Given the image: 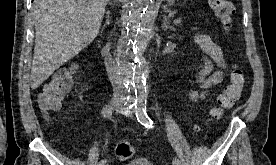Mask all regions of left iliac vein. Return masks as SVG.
Wrapping results in <instances>:
<instances>
[{
  "instance_id": "obj_1",
  "label": "left iliac vein",
  "mask_w": 276,
  "mask_h": 165,
  "mask_svg": "<svg viewBox=\"0 0 276 165\" xmlns=\"http://www.w3.org/2000/svg\"><path fill=\"white\" fill-rule=\"evenodd\" d=\"M117 111L119 113H122V114L126 115V116L133 117V115H132V113L130 111H125L122 108H118Z\"/></svg>"
}]
</instances>
